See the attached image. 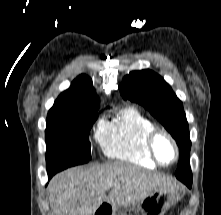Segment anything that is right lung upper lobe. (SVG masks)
I'll return each mask as SVG.
<instances>
[{
  "mask_svg": "<svg viewBox=\"0 0 221 215\" xmlns=\"http://www.w3.org/2000/svg\"><path fill=\"white\" fill-rule=\"evenodd\" d=\"M75 104L99 105V99L90 77L85 74L78 76L68 90L62 92L54 106H67Z\"/></svg>",
  "mask_w": 221,
  "mask_h": 215,
  "instance_id": "obj_1",
  "label": "right lung upper lobe"
}]
</instances>
